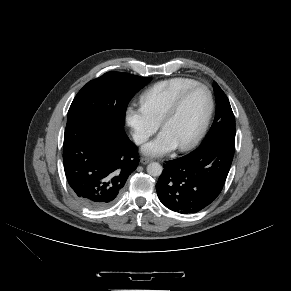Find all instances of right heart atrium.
Segmentation results:
<instances>
[{"label":"right heart atrium","instance_id":"obj_1","mask_svg":"<svg viewBox=\"0 0 291 291\" xmlns=\"http://www.w3.org/2000/svg\"><path fill=\"white\" fill-rule=\"evenodd\" d=\"M124 117L137 144L145 143L159 128V122L142 105L127 106Z\"/></svg>","mask_w":291,"mask_h":291}]
</instances>
